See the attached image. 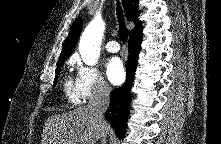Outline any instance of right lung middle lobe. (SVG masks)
Here are the masks:
<instances>
[{
    "mask_svg": "<svg viewBox=\"0 0 221 144\" xmlns=\"http://www.w3.org/2000/svg\"><path fill=\"white\" fill-rule=\"evenodd\" d=\"M62 65H63V62L57 64V68H56V72H57V74L60 73V70H61V66H62ZM56 81H57V79H55L54 85L56 84Z\"/></svg>",
    "mask_w": 221,
    "mask_h": 144,
    "instance_id": "dd1d6c3e",
    "label": "right lung middle lobe"
}]
</instances>
